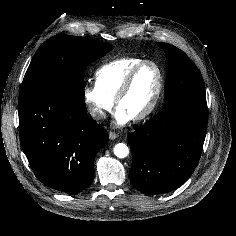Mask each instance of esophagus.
Returning a JSON list of instances; mask_svg holds the SVG:
<instances>
[{"mask_svg": "<svg viewBox=\"0 0 236 236\" xmlns=\"http://www.w3.org/2000/svg\"><path fill=\"white\" fill-rule=\"evenodd\" d=\"M118 137V135L115 133V132H109V138L111 139V140H114V139H116Z\"/></svg>", "mask_w": 236, "mask_h": 236, "instance_id": "obj_1", "label": "esophagus"}]
</instances>
